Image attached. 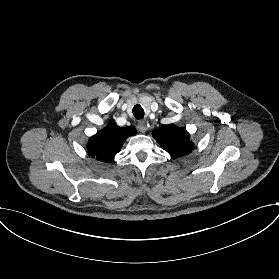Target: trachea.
Returning <instances> with one entry per match:
<instances>
[{"instance_id":"3493384b","label":"trachea","mask_w":279,"mask_h":279,"mask_svg":"<svg viewBox=\"0 0 279 279\" xmlns=\"http://www.w3.org/2000/svg\"><path fill=\"white\" fill-rule=\"evenodd\" d=\"M133 114L136 119H142L144 117V109L141 105H135L133 107Z\"/></svg>"}]
</instances>
